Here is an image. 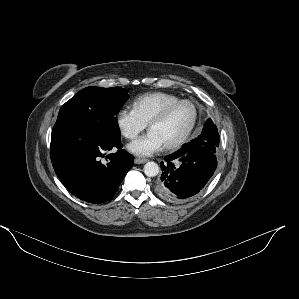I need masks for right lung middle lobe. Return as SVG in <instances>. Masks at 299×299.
<instances>
[{
    "label": "right lung middle lobe",
    "mask_w": 299,
    "mask_h": 299,
    "mask_svg": "<svg viewBox=\"0 0 299 299\" xmlns=\"http://www.w3.org/2000/svg\"><path fill=\"white\" fill-rule=\"evenodd\" d=\"M127 92L120 87L81 90L61 107L51 140L75 133L120 139L116 114L128 99Z\"/></svg>",
    "instance_id": "dd1d6c3e"
}]
</instances>
